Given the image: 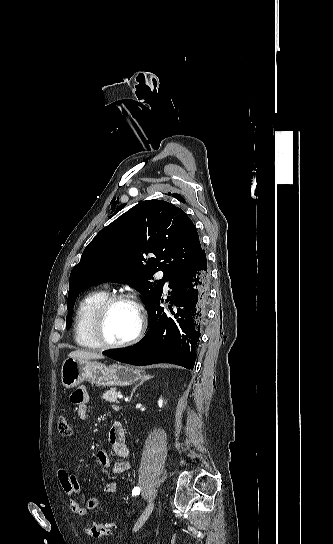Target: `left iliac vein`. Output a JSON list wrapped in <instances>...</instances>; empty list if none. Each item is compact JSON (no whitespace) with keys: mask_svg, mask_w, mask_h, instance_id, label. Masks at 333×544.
I'll list each match as a JSON object with an SVG mask.
<instances>
[{"mask_svg":"<svg viewBox=\"0 0 333 544\" xmlns=\"http://www.w3.org/2000/svg\"><path fill=\"white\" fill-rule=\"evenodd\" d=\"M153 509H154V502L150 503L147 506V508L144 510L142 515L139 517L138 521L136 522V524L134 526V531L139 530L143 526V524L146 522V520L148 519V517L152 513Z\"/></svg>","mask_w":333,"mask_h":544,"instance_id":"left-iliac-vein-1","label":"left iliac vein"}]
</instances>
